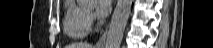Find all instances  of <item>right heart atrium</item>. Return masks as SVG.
<instances>
[{
  "label": "right heart atrium",
  "mask_w": 213,
  "mask_h": 48,
  "mask_svg": "<svg viewBox=\"0 0 213 48\" xmlns=\"http://www.w3.org/2000/svg\"><path fill=\"white\" fill-rule=\"evenodd\" d=\"M91 20H92L91 15H90V14H87V21L89 22V24H90Z\"/></svg>",
  "instance_id": "d8ad5b80"
}]
</instances>
